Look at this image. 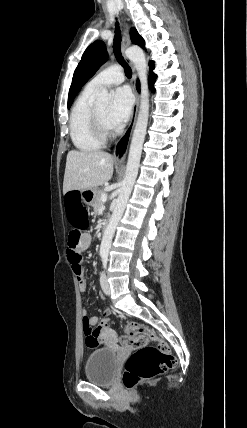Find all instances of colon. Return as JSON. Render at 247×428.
<instances>
[{
  "label": "colon",
  "instance_id": "obj_1",
  "mask_svg": "<svg viewBox=\"0 0 247 428\" xmlns=\"http://www.w3.org/2000/svg\"><path fill=\"white\" fill-rule=\"evenodd\" d=\"M63 208L67 228L72 229L69 235V250L75 259L81 261L77 245L82 236L81 232H87L91 224L90 217H86V204L77 192H69L66 199H63ZM112 314L113 311L110 308L102 309L100 324L96 325L95 329L89 324L88 318L82 319L85 343L88 348L94 349L100 344L103 347L106 346V341H101L102 333L110 328ZM152 341L156 342L155 346L149 345ZM120 342L126 348L136 349L127 359L122 377L123 384L128 389H133L140 383L161 375L177 364L169 345L140 323L127 324Z\"/></svg>",
  "mask_w": 247,
  "mask_h": 428
}]
</instances>
